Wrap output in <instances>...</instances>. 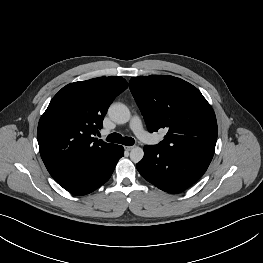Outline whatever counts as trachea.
Wrapping results in <instances>:
<instances>
[{"label":"trachea","mask_w":263,"mask_h":263,"mask_svg":"<svg viewBox=\"0 0 263 263\" xmlns=\"http://www.w3.org/2000/svg\"><path fill=\"white\" fill-rule=\"evenodd\" d=\"M107 141L108 142H113V143L123 144V145H126V146H132L135 143L133 138H131V137H122L118 133H112V134L108 135Z\"/></svg>","instance_id":"1"}]
</instances>
